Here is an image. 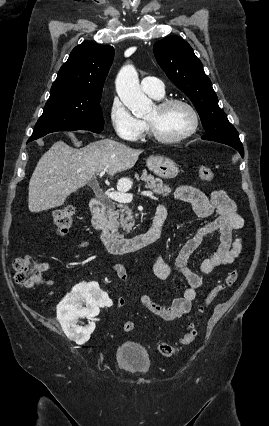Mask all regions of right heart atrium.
Listing matches in <instances>:
<instances>
[{
  "instance_id": "obj_1",
  "label": "right heart atrium",
  "mask_w": 269,
  "mask_h": 426,
  "mask_svg": "<svg viewBox=\"0 0 269 426\" xmlns=\"http://www.w3.org/2000/svg\"><path fill=\"white\" fill-rule=\"evenodd\" d=\"M109 121L114 133L123 140L136 141L145 132V124L136 118L117 96L110 100Z\"/></svg>"
}]
</instances>
